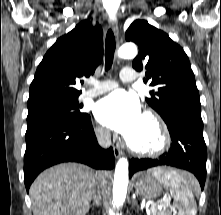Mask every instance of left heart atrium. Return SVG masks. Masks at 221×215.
Listing matches in <instances>:
<instances>
[{
    "label": "left heart atrium",
    "instance_id": "1",
    "mask_svg": "<svg viewBox=\"0 0 221 215\" xmlns=\"http://www.w3.org/2000/svg\"><path fill=\"white\" fill-rule=\"evenodd\" d=\"M97 120L104 126L130 138L143 117L136 97L119 90L100 100L95 107Z\"/></svg>",
    "mask_w": 221,
    "mask_h": 215
}]
</instances>
